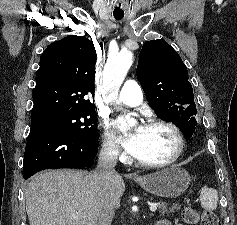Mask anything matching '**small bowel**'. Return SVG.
<instances>
[{
    "mask_svg": "<svg viewBox=\"0 0 237 225\" xmlns=\"http://www.w3.org/2000/svg\"><path fill=\"white\" fill-rule=\"evenodd\" d=\"M156 225H172V223L169 220L163 219L158 221ZM177 225H183V224L179 223Z\"/></svg>",
    "mask_w": 237,
    "mask_h": 225,
    "instance_id": "c3829d8e",
    "label": "small bowel"
}]
</instances>
